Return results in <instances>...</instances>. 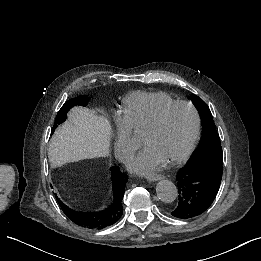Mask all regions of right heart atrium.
I'll return each instance as SVG.
<instances>
[{
    "label": "right heart atrium",
    "instance_id": "right-heart-atrium-1",
    "mask_svg": "<svg viewBox=\"0 0 261 261\" xmlns=\"http://www.w3.org/2000/svg\"><path fill=\"white\" fill-rule=\"evenodd\" d=\"M119 113V122H118V151H120L122 148L126 149L128 151L129 149V142L128 137L131 130V124L128 119L124 118L120 112V110H117ZM121 159H124V156H121Z\"/></svg>",
    "mask_w": 261,
    "mask_h": 261
}]
</instances>
